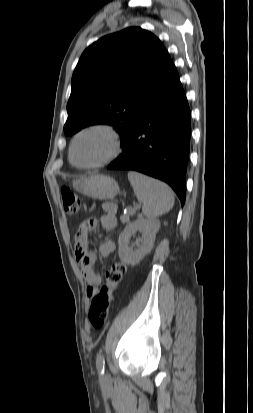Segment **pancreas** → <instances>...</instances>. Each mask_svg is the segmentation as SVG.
Here are the masks:
<instances>
[{
  "instance_id": "1",
  "label": "pancreas",
  "mask_w": 253,
  "mask_h": 413,
  "mask_svg": "<svg viewBox=\"0 0 253 413\" xmlns=\"http://www.w3.org/2000/svg\"><path fill=\"white\" fill-rule=\"evenodd\" d=\"M132 214H134V213H132V210H129L126 215H123V216L120 217L121 222H122V223H127V222H129L130 216H131Z\"/></svg>"
}]
</instances>
